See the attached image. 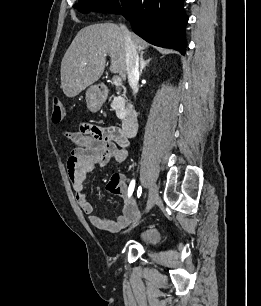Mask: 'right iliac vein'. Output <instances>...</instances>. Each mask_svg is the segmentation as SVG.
<instances>
[{
	"mask_svg": "<svg viewBox=\"0 0 261 306\" xmlns=\"http://www.w3.org/2000/svg\"><path fill=\"white\" fill-rule=\"evenodd\" d=\"M158 198V188L155 183H151L149 187V197L146 205L145 212H148L155 204Z\"/></svg>",
	"mask_w": 261,
	"mask_h": 306,
	"instance_id": "right-iliac-vein-1",
	"label": "right iliac vein"
}]
</instances>
